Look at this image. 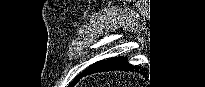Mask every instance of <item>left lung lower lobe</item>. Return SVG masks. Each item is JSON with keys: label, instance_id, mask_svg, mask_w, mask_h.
<instances>
[{"label": "left lung lower lobe", "instance_id": "1", "mask_svg": "<svg viewBox=\"0 0 205 87\" xmlns=\"http://www.w3.org/2000/svg\"><path fill=\"white\" fill-rule=\"evenodd\" d=\"M114 70H121V71H138L139 67L133 66L127 63L125 57H116L107 60H102L92 64L89 68L83 71L79 76L77 82L84 76L97 73V72H104V71H114ZM76 82V83H77ZM74 83V85L76 84ZM73 85V86H74Z\"/></svg>", "mask_w": 205, "mask_h": 87}]
</instances>
